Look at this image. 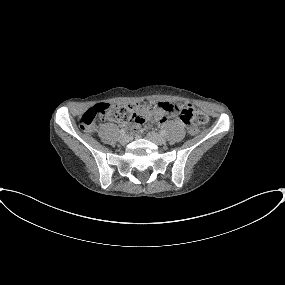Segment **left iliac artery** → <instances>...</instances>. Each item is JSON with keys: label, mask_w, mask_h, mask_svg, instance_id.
Instances as JSON below:
<instances>
[{"label": "left iliac artery", "mask_w": 285, "mask_h": 285, "mask_svg": "<svg viewBox=\"0 0 285 285\" xmlns=\"http://www.w3.org/2000/svg\"><path fill=\"white\" fill-rule=\"evenodd\" d=\"M160 133H161V135H163V136L166 135V131H165V130H161Z\"/></svg>", "instance_id": "obj_1"}]
</instances>
